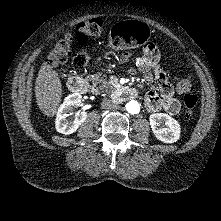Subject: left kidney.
Masks as SVG:
<instances>
[{"mask_svg":"<svg viewBox=\"0 0 221 221\" xmlns=\"http://www.w3.org/2000/svg\"><path fill=\"white\" fill-rule=\"evenodd\" d=\"M152 132L155 137L164 143H174L180 139L181 128L174 118L165 113H154L149 117ZM166 127H159L161 123Z\"/></svg>","mask_w":221,"mask_h":221,"instance_id":"left-kidney-1","label":"left kidney"}]
</instances>
